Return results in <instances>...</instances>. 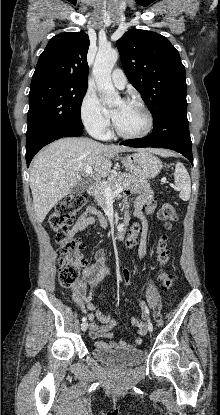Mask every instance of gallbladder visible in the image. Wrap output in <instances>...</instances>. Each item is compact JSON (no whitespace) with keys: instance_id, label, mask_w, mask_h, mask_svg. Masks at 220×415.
<instances>
[{"instance_id":"1","label":"gallbladder","mask_w":220,"mask_h":415,"mask_svg":"<svg viewBox=\"0 0 220 415\" xmlns=\"http://www.w3.org/2000/svg\"><path fill=\"white\" fill-rule=\"evenodd\" d=\"M88 185L86 181L82 180L77 183L70 191L72 194H80L83 193L87 189Z\"/></svg>"}]
</instances>
